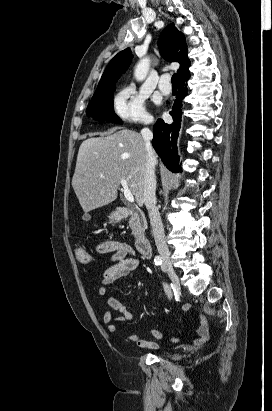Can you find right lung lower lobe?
<instances>
[{
	"mask_svg": "<svg viewBox=\"0 0 272 411\" xmlns=\"http://www.w3.org/2000/svg\"><path fill=\"white\" fill-rule=\"evenodd\" d=\"M187 81L188 79L179 81L178 94L170 111L173 122L167 124L162 119H158L153 127L152 145L166 167L173 172L181 170L177 155V138L181 123L182 103L188 91Z\"/></svg>",
	"mask_w": 272,
	"mask_h": 411,
	"instance_id": "1",
	"label": "right lung lower lobe"
}]
</instances>
